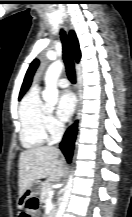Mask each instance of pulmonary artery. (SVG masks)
Segmentation results:
<instances>
[{"label": "pulmonary artery", "mask_w": 132, "mask_h": 217, "mask_svg": "<svg viewBox=\"0 0 132 217\" xmlns=\"http://www.w3.org/2000/svg\"><path fill=\"white\" fill-rule=\"evenodd\" d=\"M68 85H69V82L65 78H62L58 81V86L61 88H66V87H68Z\"/></svg>", "instance_id": "1"}]
</instances>
